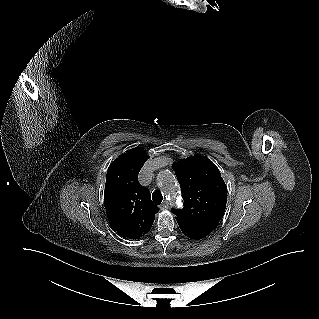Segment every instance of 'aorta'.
<instances>
[{"instance_id": "obj_1", "label": "aorta", "mask_w": 319, "mask_h": 319, "mask_svg": "<svg viewBox=\"0 0 319 319\" xmlns=\"http://www.w3.org/2000/svg\"><path fill=\"white\" fill-rule=\"evenodd\" d=\"M158 184L165 189L169 195H171L172 201H175L174 195L171 193V189L174 185V177L170 171H161L157 176Z\"/></svg>"}]
</instances>
